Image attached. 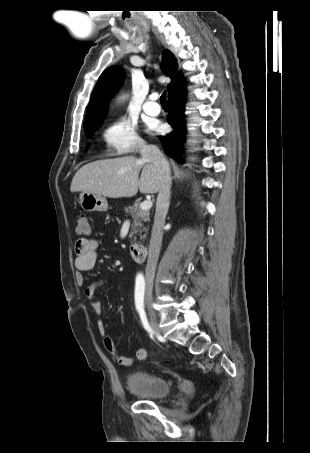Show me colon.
I'll list each match as a JSON object with an SVG mask.
<instances>
[{
  "instance_id": "5ec220e1",
  "label": "colon",
  "mask_w": 310,
  "mask_h": 453,
  "mask_svg": "<svg viewBox=\"0 0 310 453\" xmlns=\"http://www.w3.org/2000/svg\"><path fill=\"white\" fill-rule=\"evenodd\" d=\"M76 233L79 235H87L90 233L89 218L85 214H81L77 219Z\"/></svg>"
}]
</instances>
